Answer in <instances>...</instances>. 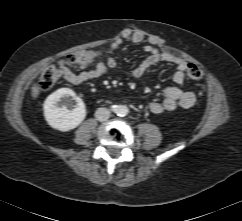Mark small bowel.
Wrapping results in <instances>:
<instances>
[{
  "label": "small bowel",
  "instance_id": "1",
  "mask_svg": "<svg viewBox=\"0 0 242 221\" xmlns=\"http://www.w3.org/2000/svg\"><path fill=\"white\" fill-rule=\"evenodd\" d=\"M145 35L140 31L124 30L118 38L113 40L107 47L108 57L105 61L97 62L91 69L74 72L72 68L74 63L70 59H62L58 62L63 78L73 84L79 85L89 81L97 80L104 77L110 70L118 66V61L114 56L116 50L124 41L133 43H141ZM144 51L148 56L135 68L128 73L134 78H142L153 65L159 62H166L175 67L172 76L174 86L166 87L163 90V99L161 101H152L149 109L153 114H161L166 111H173L177 108L188 109L196 102V96L191 91H183L179 86L184 81V73L188 67L187 61L174 54L163 52L152 42H148L144 46ZM99 53L101 50L98 51Z\"/></svg>",
  "mask_w": 242,
  "mask_h": 221
}]
</instances>
